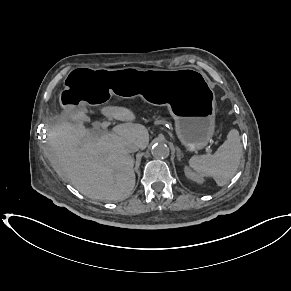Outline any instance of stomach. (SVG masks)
Masks as SVG:
<instances>
[{"label": "stomach", "instance_id": "obj_1", "mask_svg": "<svg viewBox=\"0 0 291 291\" xmlns=\"http://www.w3.org/2000/svg\"><path fill=\"white\" fill-rule=\"evenodd\" d=\"M59 96L65 110H82L86 104L105 102L110 95L141 96L164 104L175 118V131L190 151L204 148L215 132V94L206 76L195 69L99 70L83 66L66 77Z\"/></svg>", "mask_w": 291, "mask_h": 291}]
</instances>
